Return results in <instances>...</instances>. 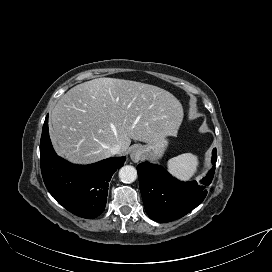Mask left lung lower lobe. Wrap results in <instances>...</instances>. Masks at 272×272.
Listing matches in <instances>:
<instances>
[{"label": "left lung lower lobe", "mask_w": 272, "mask_h": 272, "mask_svg": "<svg viewBox=\"0 0 272 272\" xmlns=\"http://www.w3.org/2000/svg\"><path fill=\"white\" fill-rule=\"evenodd\" d=\"M212 169L201 180L181 182L172 177L162 166L149 162L137 166L140 191L149 217L158 222L179 219L196 208L206 197L214 176L217 151L213 149Z\"/></svg>", "instance_id": "1"}]
</instances>
